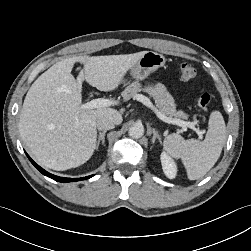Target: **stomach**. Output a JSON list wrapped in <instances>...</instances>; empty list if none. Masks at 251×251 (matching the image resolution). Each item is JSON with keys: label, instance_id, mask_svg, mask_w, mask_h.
<instances>
[{"label": "stomach", "instance_id": "1", "mask_svg": "<svg viewBox=\"0 0 251 251\" xmlns=\"http://www.w3.org/2000/svg\"><path fill=\"white\" fill-rule=\"evenodd\" d=\"M166 59L162 54L154 51H146V53L129 69L130 75L137 79L143 80L150 73L157 71L165 65Z\"/></svg>", "mask_w": 251, "mask_h": 251}]
</instances>
